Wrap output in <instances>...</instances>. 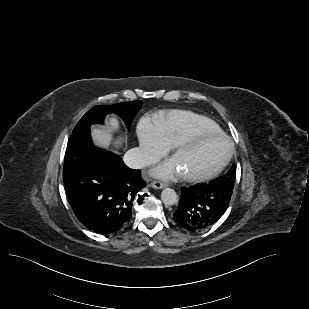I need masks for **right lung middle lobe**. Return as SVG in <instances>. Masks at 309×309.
Here are the masks:
<instances>
[{
  "label": "right lung middle lobe",
  "mask_w": 309,
  "mask_h": 309,
  "mask_svg": "<svg viewBox=\"0 0 309 309\" xmlns=\"http://www.w3.org/2000/svg\"><path fill=\"white\" fill-rule=\"evenodd\" d=\"M141 106V101L123 102L111 106H95L80 119L73 133L88 128L94 123H103L105 116L109 113L119 115L128 129H130L133 117L137 114Z\"/></svg>",
  "instance_id": "1"
}]
</instances>
